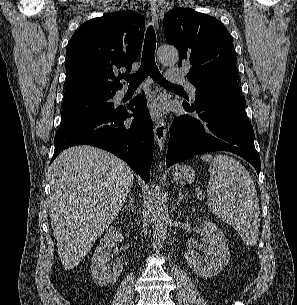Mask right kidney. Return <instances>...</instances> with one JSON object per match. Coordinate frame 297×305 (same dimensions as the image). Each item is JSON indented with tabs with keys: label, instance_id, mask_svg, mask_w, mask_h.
I'll return each mask as SVG.
<instances>
[{
	"label": "right kidney",
	"instance_id": "right-kidney-1",
	"mask_svg": "<svg viewBox=\"0 0 297 305\" xmlns=\"http://www.w3.org/2000/svg\"><path fill=\"white\" fill-rule=\"evenodd\" d=\"M116 241L117 231L111 227L100 240L99 246H97L93 254L91 260V276L99 286L113 285L122 272L123 263L119 257L115 259L112 270H107L106 268V264L111 260L109 249L115 246Z\"/></svg>",
	"mask_w": 297,
	"mask_h": 305
}]
</instances>
